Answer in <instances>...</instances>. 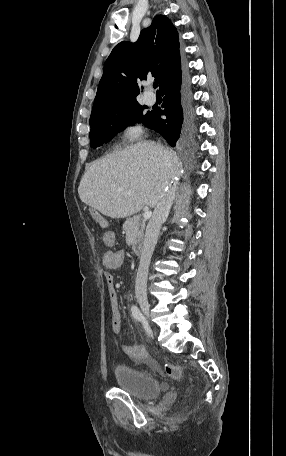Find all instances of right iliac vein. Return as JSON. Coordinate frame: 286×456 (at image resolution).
<instances>
[{
	"instance_id": "1",
	"label": "right iliac vein",
	"mask_w": 286,
	"mask_h": 456,
	"mask_svg": "<svg viewBox=\"0 0 286 456\" xmlns=\"http://www.w3.org/2000/svg\"><path fill=\"white\" fill-rule=\"evenodd\" d=\"M137 302L146 318H149V302L145 296H137Z\"/></svg>"
}]
</instances>
